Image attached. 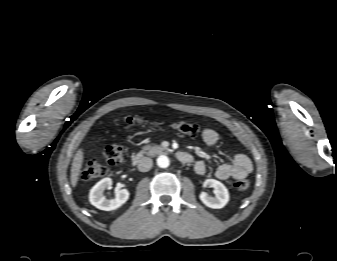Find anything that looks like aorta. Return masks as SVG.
Returning <instances> with one entry per match:
<instances>
[{"mask_svg": "<svg viewBox=\"0 0 337 261\" xmlns=\"http://www.w3.org/2000/svg\"><path fill=\"white\" fill-rule=\"evenodd\" d=\"M170 164L169 158L165 155H161L157 158V165L161 168H167Z\"/></svg>", "mask_w": 337, "mask_h": 261, "instance_id": "762f6f07", "label": "aorta"}]
</instances>
